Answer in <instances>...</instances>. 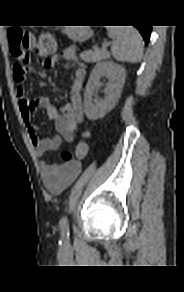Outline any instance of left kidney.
I'll use <instances>...</instances> for the list:
<instances>
[{
  "instance_id": "left-kidney-1",
  "label": "left kidney",
  "mask_w": 184,
  "mask_h": 292,
  "mask_svg": "<svg viewBox=\"0 0 184 292\" xmlns=\"http://www.w3.org/2000/svg\"><path fill=\"white\" fill-rule=\"evenodd\" d=\"M101 77L108 79L104 90L106 96L100 101H95L93 95L99 91ZM125 77V68L112 61H104L95 65L84 93V111L89 120L95 121L103 118L114 108L121 95Z\"/></svg>"
}]
</instances>
